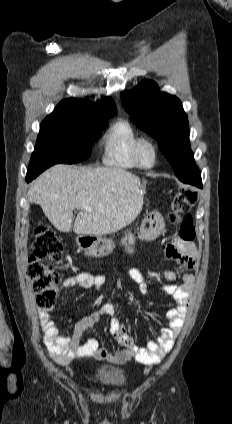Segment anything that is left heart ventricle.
I'll use <instances>...</instances> for the list:
<instances>
[{"mask_svg":"<svg viewBox=\"0 0 232 424\" xmlns=\"http://www.w3.org/2000/svg\"><path fill=\"white\" fill-rule=\"evenodd\" d=\"M140 155H141V159H142V161H143L144 164L151 163V160H152V150H151L150 146L144 145L141 148Z\"/></svg>","mask_w":232,"mask_h":424,"instance_id":"b2bd125f","label":"left heart ventricle"}]
</instances>
